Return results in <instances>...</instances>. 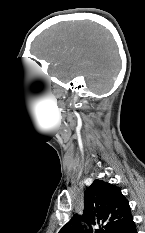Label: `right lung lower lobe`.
Wrapping results in <instances>:
<instances>
[{
	"label": "right lung lower lobe",
	"mask_w": 145,
	"mask_h": 233,
	"mask_svg": "<svg viewBox=\"0 0 145 233\" xmlns=\"http://www.w3.org/2000/svg\"><path fill=\"white\" fill-rule=\"evenodd\" d=\"M119 233H137L135 223L133 221V217L129 220V222L119 231Z\"/></svg>",
	"instance_id": "98d812e1"
}]
</instances>
